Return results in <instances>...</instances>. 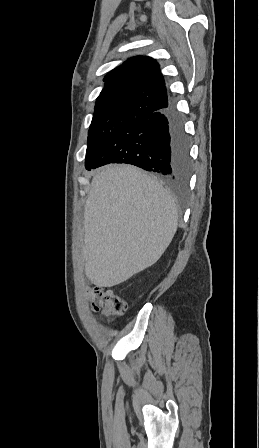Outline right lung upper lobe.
Here are the masks:
<instances>
[{
	"label": "right lung upper lobe",
	"instance_id": "1",
	"mask_svg": "<svg viewBox=\"0 0 259 448\" xmlns=\"http://www.w3.org/2000/svg\"><path fill=\"white\" fill-rule=\"evenodd\" d=\"M95 103V113L145 114L169 104L165 80L158 62L134 56L109 72Z\"/></svg>",
	"mask_w": 259,
	"mask_h": 448
}]
</instances>
